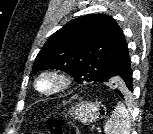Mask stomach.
Segmentation results:
<instances>
[{
    "label": "stomach",
    "mask_w": 153,
    "mask_h": 134,
    "mask_svg": "<svg viewBox=\"0 0 153 134\" xmlns=\"http://www.w3.org/2000/svg\"><path fill=\"white\" fill-rule=\"evenodd\" d=\"M70 115L83 124L96 122L100 116L99 105L97 103H81L71 108Z\"/></svg>",
    "instance_id": "obj_1"
}]
</instances>
